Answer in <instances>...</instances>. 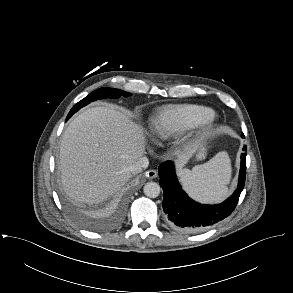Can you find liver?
I'll use <instances>...</instances> for the list:
<instances>
[{
  "label": "liver",
  "instance_id": "6515ba94",
  "mask_svg": "<svg viewBox=\"0 0 293 293\" xmlns=\"http://www.w3.org/2000/svg\"><path fill=\"white\" fill-rule=\"evenodd\" d=\"M142 127L111 107L81 112L65 130L60 146V171L66 193L76 202L99 203L131 178L130 166L145 153ZM198 145L177 153L181 169Z\"/></svg>",
  "mask_w": 293,
  "mask_h": 293
}]
</instances>
